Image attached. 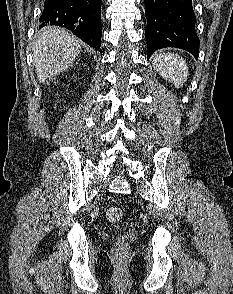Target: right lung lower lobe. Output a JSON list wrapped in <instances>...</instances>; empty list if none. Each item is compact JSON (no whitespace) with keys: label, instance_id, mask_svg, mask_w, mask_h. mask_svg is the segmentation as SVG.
Wrapping results in <instances>:
<instances>
[{"label":"right lung lower lobe","instance_id":"1","mask_svg":"<svg viewBox=\"0 0 233 294\" xmlns=\"http://www.w3.org/2000/svg\"><path fill=\"white\" fill-rule=\"evenodd\" d=\"M102 0H45L40 28L61 26L91 47L100 49Z\"/></svg>","mask_w":233,"mask_h":294}]
</instances>
